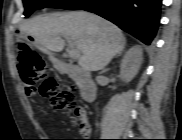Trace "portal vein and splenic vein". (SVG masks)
<instances>
[{"label": "portal vein and splenic vein", "instance_id": "1", "mask_svg": "<svg viewBox=\"0 0 182 140\" xmlns=\"http://www.w3.org/2000/svg\"><path fill=\"white\" fill-rule=\"evenodd\" d=\"M65 38H66L68 45H69V49H68L69 57L72 59H77L79 57L78 51L75 49L71 39L69 37H65Z\"/></svg>", "mask_w": 182, "mask_h": 140}]
</instances>
